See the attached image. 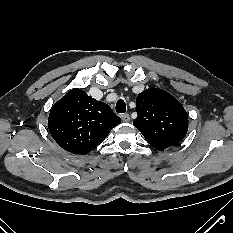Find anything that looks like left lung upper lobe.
<instances>
[{
    "instance_id": "5c2ea615",
    "label": "left lung upper lobe",
    "mask_w": 233,
    "mask_h": 233,
    "mask_svg": "<svg viewBox=\"0 0 233 233\" xmlns=\"http://www.w3.org/2000/svg\"><path fill=\"white\" fill-rule=\"evenodd\" d=\"M136 111L133 124L159 151L176 145L187 134L188 114L167 91L154 87L143 91L137 96Z\"/></svg>"
}]
</instances>
